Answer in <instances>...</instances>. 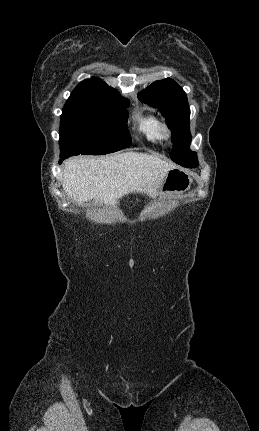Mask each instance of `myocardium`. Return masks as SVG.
Wrapping results in <instances>:
<instances>
[{
  "label": "myocardium",
  "instance_id": "myocardium-1",
  "mask_svg": "<svg viewBox=\"0 0 259 431\" xmlns=\"http://www.w3.org/2000/svg\"><path fill=\"white\" fill-rule=\"evenodd\" d=\"M160 134L162 138L169 139L171 136V130L167 125L162 124L160 128Z\"/></svg>",
  "mask_w": 259,
  "mask_h": 431
}]
</instances>
